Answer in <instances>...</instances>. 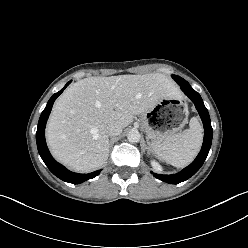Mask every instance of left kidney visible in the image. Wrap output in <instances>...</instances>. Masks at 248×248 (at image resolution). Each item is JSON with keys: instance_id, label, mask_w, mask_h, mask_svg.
Returning a JSON list of instances; mask_svg holds the SVG:
<instances>
[{"instance_id": "5707ae66", "label": "left kidney", "mask_w": 248, "mask_h": 248, "mask_svg": "<svg viewBox=\"0 0 248 248\" xmlns=\"http://www.w3.org/2000/svg\"><path fill=\"white\" fill-rule=\"evenodd\" d=\"M151 165H152V167L155 169V170H157V171H161L162 170V167L159 165V163L158 162H156L155 160H152L151 161Z\"/></svg>"}]
</instances>
